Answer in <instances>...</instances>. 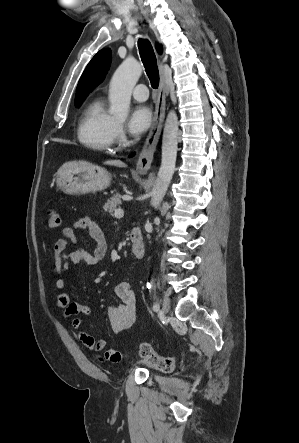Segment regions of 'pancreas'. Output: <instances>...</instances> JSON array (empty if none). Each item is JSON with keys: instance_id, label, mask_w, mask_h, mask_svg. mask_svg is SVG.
Wrapping results in <instances>:
<instances>
[{"instance_id": "cf45deb5", "label": "pancreas", "mask_w": 299, "mask_h": 443, "mask_svg": "<svg viewBox=\"0 0 299 443\" xmlns=\"http://www.w3.org/2000/svg\"><path fill=\"white\" fill-rule=\"evenodd\" d=\"M121 205V195L115 194L107 200L104 210L113 213Z\"/></svg>"}]
</instances>
